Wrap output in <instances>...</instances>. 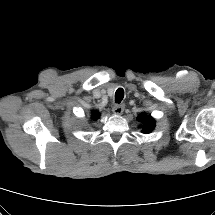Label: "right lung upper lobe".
Segmentation results:
<instances>
[{
    "label": "right lung upper lobe",
    "instance_id": "obj_1",
    "mask_svg": "<svg viewBox=\"0 0 215 215\" xmlns=\"http://www.w3.org/2000/svg\"><path fill=\"white\" fill-rule=\"evenodd\" d=\"M92 117H93L94 119H97V118L99 117V113H98V112L93 113Z\"/></svg>",
    "mask_w": 215,
    "mask_h": 215
}]
</instances>
